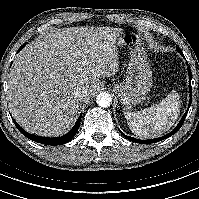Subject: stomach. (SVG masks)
<instances>
[{"label": "stomach", "mask_w": 199, "mask_h": 199, "mask_svg": "<svg viewBox=\"0 0 199 199\" xmlns=\"http://www.w3.org/2000/svg\"><path fill=\"white\" fill-rule=\"evenodd\" d=\"M117 45L130 51V61L125 80L114 84L113 90L125 110H131L141 103L152 85V71L147 53L138 34L123 31L117 39Z\"/></svg>", "instance_id": "1"}]
</instances>
